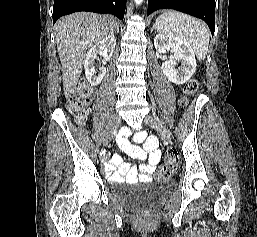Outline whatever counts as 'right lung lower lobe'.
Segmentation results:
<instances>
[{
	"instance_id": "right-lung-lower-lobe-1",
	"label": "right lung lower lobe",
	"mask_w": 257,
	"mask_h": 237,
	"mask_svg": "<svg viewBox=\"0 0 257 237\" xmlns=\"http://www.w3.org/2000/svg\"><path fill=\"white\" fill-rule=\"evenodd\" d=\"M126 0H55L53 22L61 16L78 11L112 14L123 20Z\"/></svg>"
}]
</instances>
